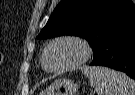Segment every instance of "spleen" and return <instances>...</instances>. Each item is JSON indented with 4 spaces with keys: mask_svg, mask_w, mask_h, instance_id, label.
Here are the masks:
<instances>
[{
    "mask_svg": "<svg viewBox=\"0 0 135 95\" xmlns=\"http://www.w3.org/2000/svg\"><path fill=\"white\" fill-rule=\"evenodd\" d=\"M97 95H135V81L121 72L105 67L83 66Z\"/></svg>",
    "mask_w": 135,
    "mask_h": 95,
    "instance_id": "spleen-1",
    "label": "spleen"
}]
</instances>
